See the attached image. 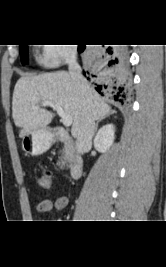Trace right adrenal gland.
Masks as SVG:
<instances>
[{
  "instance_id": "right-adrenal-gland-1",
  "label": "right adrenal gland",
  "mask_w": 166,
  "mask_h": 267,
  "mask_svg": "<svg viewBox=\"0 0 166 267\" xmlns=\"http://www.w3.org/2000/svg\"><path fill=\"white\" fill-rule=\"evenodd\" d=\"M115 112L114 111H111V114H114ZM107 116L109 115H106L105 117L101 118L100 120L97 121L96 125H95V132L97 131L98 129V126H99V123L104 120Z\"/></svg>"
}]
</instances>
